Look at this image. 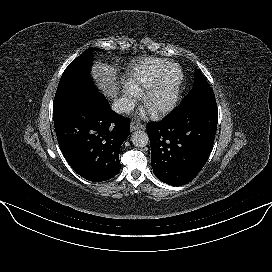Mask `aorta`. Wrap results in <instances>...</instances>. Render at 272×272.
I'll list each match as a JSON object with an SVG mask.
<instances>
[{"label": "aorta", "instance_id": "1", "mask_svg": "<svg viewBox=\"0 0 272 272\" xmlns=\"http://www.w3.org/2000/svg\"><path fill=\"white\" fill-rule=\"evenodd\" d=\"M131 141L135 147H145L149 143V137L146 132L139 130L131 135Z\"/></svg>", "mask_w": 272, "mask_h": 272}]
</instances>
